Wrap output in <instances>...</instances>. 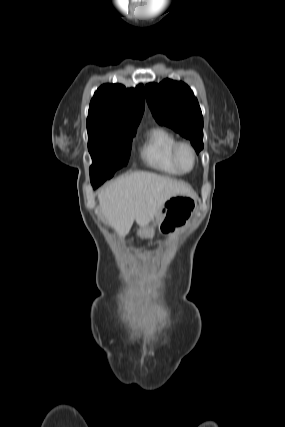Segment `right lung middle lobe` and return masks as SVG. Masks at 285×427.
<instances>
[{
	"instance_id": "1",
	"label": "right lung middle lobe",
	"mask_w": 285,
	"mask_h": 427,
	"mask_svg": "<svg viewBox=\"0 0 285 427\" xmlns=\"http://www.w3.org/2000/svg\"><path fill=\"white\" fill-rule=\"evenodd\" d=\"M136 127L87 126L88 149L93 160L90 167L91 183H103L116 170L127 165Z\"/></svg>"
}]
</instances>
